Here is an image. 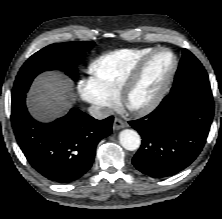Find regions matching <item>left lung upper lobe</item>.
<instances>
[{"label":"left lung upper lobe","instance_id":"5c2ea615","mask_svg":"<svg viewBox=\"0 0 222 219\" xmlns=\"http://www.w3.org/2000/svg\"><path fill=\"white\" fill-rule=\"evenodd\" d=\"M181 89H191L205 95H212L207 72L200 61L187 49L182 50V58L171 91Z\"/></svg>","mask_w":222,"mask_h":219}]
</instances>
